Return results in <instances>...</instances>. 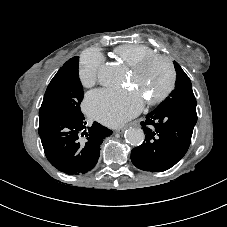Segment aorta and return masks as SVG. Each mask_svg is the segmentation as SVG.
I'll use <instances>...</instances> for the list:
<instances>
[{
    "instance_id": "762f6f07",
    "label": "aorta",
    "mask_w": 227,
    "mask_h": 227,
    "mask_svg": "<svg viewBox=\"0 0 227 227\" xmlns=\"http://www.w3.org/2000/svg\"><path fill=\"white\" fill-rule=\"evenodd\" d=\"M98 78L104 85H115L121 80V70L115 63H106L99 69ZM145 138L144 132L139 128H129L125 131V139L134 146H139Z\"/></svg>"
}]
</instances>
